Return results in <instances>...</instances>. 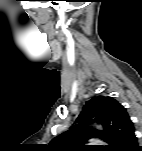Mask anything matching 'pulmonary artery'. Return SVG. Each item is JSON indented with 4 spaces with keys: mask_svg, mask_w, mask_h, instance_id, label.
Instances as JSON below:
<instances>
[{
    "mask_svg": "<svg viewBox=\"0 0 142 151\" xmlns=\"http://www.w3.org/2000/svg\"><path fill=\"white\" fill-rule=\"evenodd\" d=\"M93 143H94V144H99V143H101V142L98 141V140H94Z\"/></svg>",
    "mask_w": 142,
    "mask_h": 151,
    "instance_id": "obj_1",
    "label": "pulmonary artery"
}]
</instances>
